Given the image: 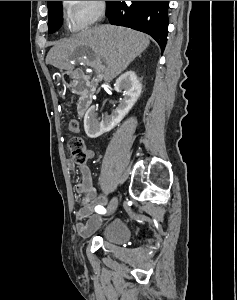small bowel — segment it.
Listing matches in <instances>:
<instances>
[{
    "instance_id": "1",
    "label": "small bowel",
    "mask_w": 237,
    "mask_h": 300,
    "mask_svg": "<svg viewBox=\"0 0 237 300\" xmlns=\"http://www.w3.org/2000/svg\"><path fill=\"white\" fill-rule=\"evenodd\" d=\"M69 130L77 133L79 131V123L76 120L69 122ZM87 157H94L93 150H87ZM71 170L74 165L69 163ZM77 169L81 175V181L75 186L76 192L81 196V205L76 210L75 215L78 219L76 225L79 235L86 237L95 231L101 224V217L95 213V208L107 203L104 191L113 186V182L108 178H103L101 182L102 191H98L92 182V174L86 163L77 165Z\"/></svg>"
}]
</instances>
